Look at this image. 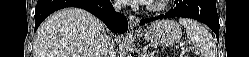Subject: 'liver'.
<instances>
[{
  "label": "liver",
  "instance_id": "liver-1",
  "mask_svg": "<svg viewBox=\"0 0 249 57\" xmlns=\"http://www.w3.org/2000/svg\"><path fill=\"white\" fill-rule=\"evenodd\" d=\"M105 25L79 8L52 14L35 36L33 57H99Z\"/></svg>",
  "mask_w": 249,
  "mask_h": 57
}]
</instances>
